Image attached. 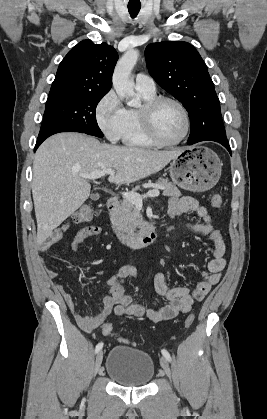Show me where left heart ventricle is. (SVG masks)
<instances>
[{
    "label": "left heart ventricle",
    "instance_id": "obj_1",
    "mask_svg": "<svg viewBox=\"0 0 267 419\" xmlns=\"http://www.w3.org/2000/svg\"><path fill=\"white\" fill-rule=\"evenodd\" d=\"M158 135L165 141L177 140L184 131V117L181 110L173 103H162L154 117Z\"/></svg>",
    "mask_w": 267,
    "mask_h": 419
}]
</instances>
